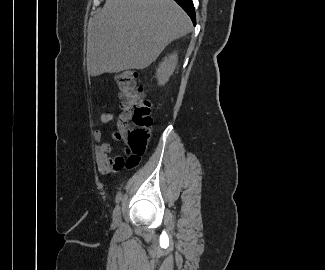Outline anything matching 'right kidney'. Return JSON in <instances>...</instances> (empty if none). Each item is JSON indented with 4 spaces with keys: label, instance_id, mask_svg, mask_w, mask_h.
Segmentation results:
<instances>
[{
    "label": "right kidney",
    "instance_id": "obj_1",
    "mask_svg": "<svg viewBox=\"0 0 325 270\" xmlns=\"http://www.w3.org/2000/svg\"><path fill=\"white\" fill-rule=\"evenodd\" d=\"M177 60V54L174 53L168 58H165V61L161 63L156 73L159 85H164L169 80V77L173 74L177 65Z\"/></svg>",
    "mask_w": 325,
    "mask_h": 270
}]
</instances>
